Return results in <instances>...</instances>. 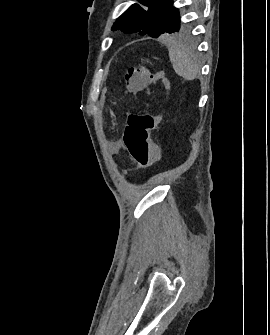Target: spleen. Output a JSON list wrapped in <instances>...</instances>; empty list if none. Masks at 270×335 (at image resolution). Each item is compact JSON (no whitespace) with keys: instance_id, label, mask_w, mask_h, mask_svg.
Masks as SVG:
<instances>
[{"instance_id":"3e777b00","label":"spleen","mask_w":270,"mask_h":335,"mask_svg":"<svg viewBox=\"0 0 270 335\" xmlns=\"http://www.w3.org/2000/svg\"><path fill=\"white\" fill-rule=\"evenodd\" d=\"M169 58L178 76H182L184 80H195L200 70L197 64H194L186 50L184 44L181 42H172L169 48Z\"/></svg>"}]
</instances>
